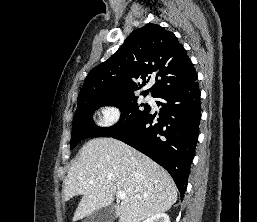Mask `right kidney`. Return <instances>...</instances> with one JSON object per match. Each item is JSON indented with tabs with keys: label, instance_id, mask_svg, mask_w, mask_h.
Returning a JSON list of instances; mask_svg holds the SVG:
<instances>
[{
	"label": "right kidney",
	"instance_id": "1",
	"mask_svg": "<svg viewBox=\"0 0 257 222\" xmlns=\"http://www.w3.org/2000/svg\"><path fill=\"white\" fill-rule=\"evenodd\" d=\"M143 222H170L169 216L166 213H158L153 215Z\"/></svg>",
	"mask_w": 257,
	"mask_h": 222
}]
</instances>
